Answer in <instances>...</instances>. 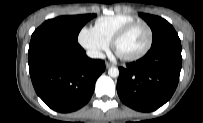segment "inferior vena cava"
Instances as JSON below:
<instances>
[{
  "label": "inferior vena cava",
  "mask_w": 203,
  "mask_h": 123,
  "mask_svg": "<svg viewBox=\"0 0 203 123\" xmlns=\"http://www.w3.org/2000/svg\"><path fill=\"white\" fill-rule=\"evenodd\" d=\"M87 56H89L90 58H99V59L105 58V54L98 50H88Z\"/></svg>",
  "instance_id": "1"
}]
</instances>
